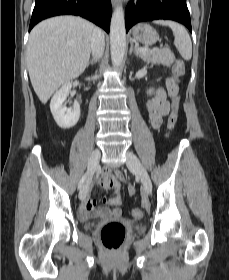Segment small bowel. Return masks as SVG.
Listing matches in <instances>:
<instances>
[{
	"label": "small bowel",
	"mask_w": 229,
	"mask_h": 280,
	"mask_svg": "<svg viewBox=\"0 0 229 280\" xmlns=\"http://www.w3.org/2000/svg\"><path fill=\"white\" fill-rule=\"evenodd\" d=\"M169 110H170V105L167 100L165 91L162 88L157 87L155 89V93L153 97L147 101V111H148L150 125L154 129L159 128L162 124L163 117L168 115ZM107 175L110 174H102L103 177ZM111 188L114 191V195L112 197H108L105 199L106 204L111 206V208L100 209L98 211V214L102 217L120 218L122 216V210L120 208V204H121L120 183L113 184ZM133 191L134 189L130 187V193H133ZM89 195H90V191L88 188L87 191L83 194V197L81 199V204L79 205L77 210V214L81 219H88L96 207L95 202L90 199Z\"/></svg>",
	"instance_id": "c3829d8e"
}]
</instances>
